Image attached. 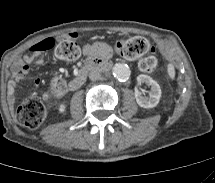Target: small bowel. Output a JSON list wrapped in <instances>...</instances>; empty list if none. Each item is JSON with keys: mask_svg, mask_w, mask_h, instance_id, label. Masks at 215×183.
<instances>
[{"mask_svg": "<svg viewBox=\"0 0 215 183\" xmlns=\"http://www.w3.org/2000/svg\"><path fill=\"white\" fill-rule=\"evenodd\" d=\"M77 34L71 33L70 37L75 38ZM50 40L54 44V40L51 38H46L35 45H33L27 54L23 56L14 66L13 69V79L11 80L8 88V97L9 101L13 103L15 101L14 92L15 89L18 87V84L30 73V70L32 66L35 64L40 63L43 60V57L45 53L50 49H38L37 46L40 42ZM83 52L88 57H94L100 53H106L107 47L102 43H95L92 45H85L83 47ZM36 84L39 83V81H35Z\"/></svg>", "mask_w": 215, "mask_h": 183, "instance_id": "obj_1", "label": "small bowel"}]
</instances>
